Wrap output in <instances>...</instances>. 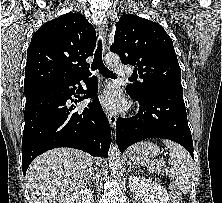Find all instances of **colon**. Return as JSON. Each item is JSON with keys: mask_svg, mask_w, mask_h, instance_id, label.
I'll use <instances>...</instances> for the list:
<instances>
[{"mask_svg": "<svg viewBox=\"0 0 222 203\" xmlns=\"http://www.w3.org/2000/svg\"><path fill=\"white\" fill-rule=\"evenodd\" d=\"M171 199L172 203H182L181 193L175 186L171 187Z\"/></svg>", "mask_w": 222, "mask_h": 203, "instance_id": "colon-1", "label": "colon"}]
</instances>
